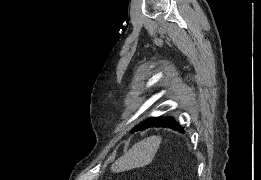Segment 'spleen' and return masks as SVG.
Segmentation results:
<instances>
[{"mask_svg": "<svg viewBox=\"0 0 261 180\" xmlns=\"http://www.w3.org/2000/svg\"><path fill=\"white\" fill-rule=\"evenodd\" d=\"M160 144V136H149V138L137 142L124 156L114 162L111 168L112 172L119 174V172H127V170H133V168L148 166L158 152Z\"/></svg>", "mask_w": 261, "mask_h": 180, "instance_id": "1", "label": "spleen"}]
</instances>
